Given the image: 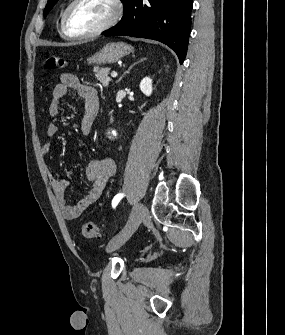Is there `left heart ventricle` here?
<instances>
[{
	"label": "left heart ventricle",
	"mask_w": 285,
	"mask_h": 335,
	"mask_svg": "<svg viewBox=\"0 0 285 335\" xmlns=\"http://www.w3.org/2000/svg\"><path fill=\"white\" fill-rule=\"evenodd\" d=\"M111 14L112 9L105 1H84L74 9L73 24L79 30H93L103 25Z\"/></svg>",
	"instance_id": "obj_1"
}]
</instances>
